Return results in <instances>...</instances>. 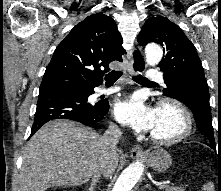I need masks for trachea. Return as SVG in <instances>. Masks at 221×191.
<instances>
[{
  "label": "trachea",
  "mask_w": 221,
  "mask_h": 191,
  "mask_svg": "<svg viewBox=\"0 0 221 191\" xmlns=\"http://www.w3.org/2000/svg\"><path fill=\"white\" fill-rule=\"evenodd\" d=\"M122 75L120 71H112L106 77V84H114ZM133 79L139 84H156L154 82L149 81L141 75L133 76Z\"/></svg>",
  "instance_id": "1"
}]
</instances>
